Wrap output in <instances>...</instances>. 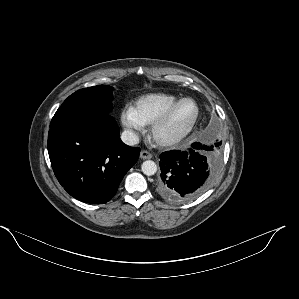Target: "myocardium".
Wrapping results in <instances>:
<instances>
[{
    "mask_svg": "<svg viewBox=\"0 0 299 299\" xmlns=\"http://www.w3.org/2000/svg\"><path fill=\"white\" fill-rule=\"evenodd\" d=\"M185 101H190L195 105L196 108V113L195 116L188 126L187 129L182 131L179 134L170 136V137H162L159 132L161 128L166 124V122L169 120L170 116L174 112V110L183 102ZM200 117V108L198 103L189 97L181 98L169 105L163 112L162 114L151 124V130H150V135L152 140L161 147H172L177 144H179L182 140H184L195 128L198 120Z\"/></svg>",
    "mask_w": 299,
    "mask_h": 299,
    "instance_id": "myocardium-1",
    "label": "myocardium"
}]
</instances>
